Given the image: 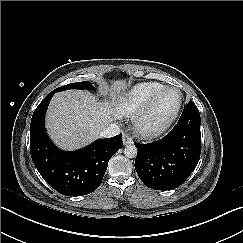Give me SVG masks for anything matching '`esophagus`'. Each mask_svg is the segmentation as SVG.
<instances>
[{
	"label": "esophagus",
	"mask_w": 243,
	"mask_h": 243,
	"mask_svg": "<svg viewBox=\"0 0 243 243\" xmlns=\"http://www.w3.org/2000/svg\"><path fill=\"white\" fill-rule=\"evenodd\" d=\"M122 141L124 145H129L133 143L132 137L128 134H123Z\"/></svg>",
	"instance_id": "esophagus-1"
}]
</instances>
